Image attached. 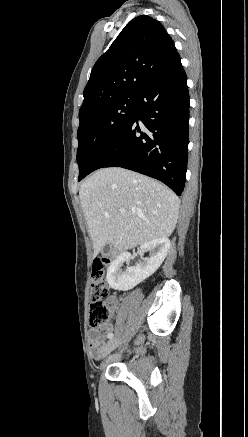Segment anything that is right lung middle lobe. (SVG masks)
I'll use <instances>...</instances> for the list:
<instances>
[{"label":"right lung middle lobe","instance_id":"right-lung-middle-lobe-1","mask_svg":"<svg viewBox=\"0 0 248 437\" xmlns=\"http://www.w3.org/2000/svg\"><path fill=\"white\" fill-rule=\"evenodd\" d=\"M136 96L118 99L80 122L78 128V181L89 174L95 158L113 141L131 119Z\"/></svg>","mask_w":248,"mask_h":437}]
</instances>
